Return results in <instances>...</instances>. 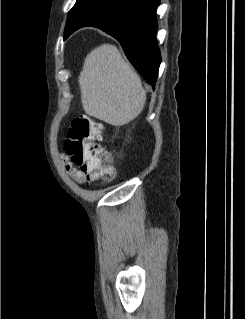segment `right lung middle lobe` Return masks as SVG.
Returning <instances> with one entry per match:
<instances>
[{
  "instance_id": "1",
  "label": "right lung middle lobe",
  "mask_w": 245,
  "mask_h": 319,
  "mask_svg": "<svg viewBox=\"0 0 245 319\" xmlns=\"http://www.w3.org/2000/svg\"><path fill=\"white\" fill-rule=\"evenodd\" d=\"M128 1L129 0H83L80 3V8L94 21L95 19L118 9ZM75 21V18H68L66 25L73 24Z\"/></svg>"
}]
</instances>
